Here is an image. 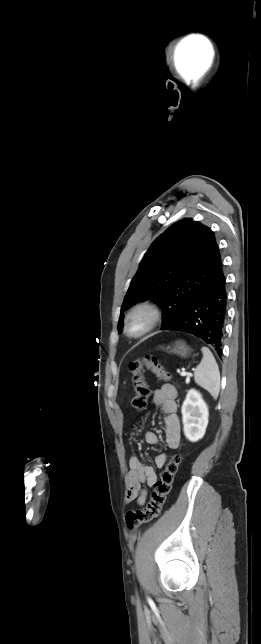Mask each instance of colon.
Wrapping results in <instances>:
<instances>
[{
	"label": "colon",
	"instance_id": "5ec220e1",
	"mask_svg": "<svg viewBox=\"0 0 261 644\" xmlns=\"http://www.w3.org/2000/svg\"><path fill=\"white\" fill-rule=\"evenodd\" d=\"M129 367L135 388V394L131 404L134 409L141 410L145 408L151 394L150 387L145 378V371H151L164 381H168L171 378V374L154 355L145 356L142 359L133 361ZM180 462V454H174L167 462L160 474V479L154 484L151 498L146 508L127 512L126 523L130 529H135L144 523L151 522L161 515Z\"/></svg>",
	"mask_w": 261,
	"mask_h": 644
}]
</instances>
